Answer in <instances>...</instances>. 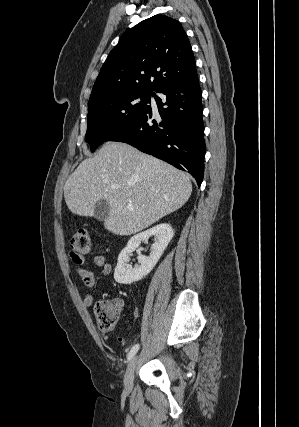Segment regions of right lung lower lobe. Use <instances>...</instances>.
<instances>
[{
  "label": "right lung lower lobe",
  "instance_id": "right-lung-lower-lobe-1",
  "mask_svg": "<svg viewBox=\"0 0 299 427\" xmlns=\"http://www.w3.org/2000/svg\"><path fill=\"white\" fill-rule=\"evenodd\" d=\"M153 94L161 122L152 118V109L111 141L128 143L142 152L188 171L200 186L204 172L205 141L201 90L197 74L167 83Z\"/></svg>",
  "mask_w": 299,
  "mask_h": 427
}]
</instances>
